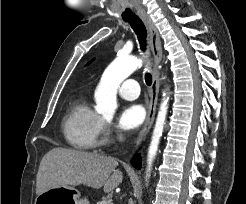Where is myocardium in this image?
Returning <instances> with one entry per match:
<instances>
[{"mask_svg":"<svg viewBox=\"0 0 246 204\" xmlns=\"http://www.w3.org/2000/svg\"><path fill=\"white\" fill-rule=\"evenodd\" d=\"M104 125H105V123H104ZM103 130H104V128H103ZM102 141L103 142H106L107 141V138L106 137H103Z\"/></svg>","mask_w":246,"mask_h":204,"instance_id":"f54148a6","label":"myocardium"}]
</instances>
